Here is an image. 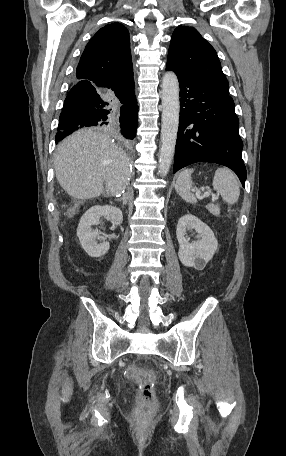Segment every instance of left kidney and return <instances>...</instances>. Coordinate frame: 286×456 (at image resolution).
<instances>
[{"mask_svg": "<svg viewBox=\"0 0 286 456\" xmlns=\"http://www.w3.org/2000/svg\"><path fill=\"white\" fill-rule=\"evenodd\" d=\"M191 229L198 233V240L189 243L185 235L186 231ZM176 235L179 242V259L187 267L203 269L217 251L218 241L213 231L194 215L186 214L179 219Z\"/></svg>", "mask_w": 286, "mask_h": 456, "instance_id": "left-kidney-1", "label": "left kidney"}]
</instances>
